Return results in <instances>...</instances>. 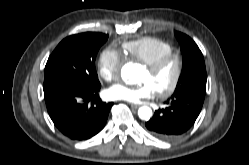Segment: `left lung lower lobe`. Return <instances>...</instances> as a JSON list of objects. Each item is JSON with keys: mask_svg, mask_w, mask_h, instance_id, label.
<instances>
[{"mask_svg": "<svg viewBox=\"0 0 249 165\" xmlns=\"http://www.w3.org/2000/svg\"><path fill=\"white\" fill-rule=\"evenodd\" d=\"M205 98V91L188 89L173 94L167 107L155 111L145 123L147 130L162 140H172L188 131L197 119Z\"/></svg>", "mask_w": 249, "mask_h": 165, "instance_id": "1", "label": "left lung lower lobe"}]
</instances>
